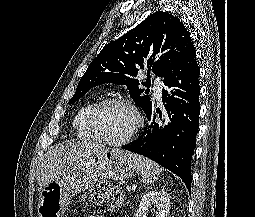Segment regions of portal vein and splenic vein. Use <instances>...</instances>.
<instances>
[{
	"label": "portal vein and splenic vein",
	"mask_w": 255,
	"mask_h": 217,
	"mask_svg": "<svg viewBox=\"0 0 255 217\" xmlns=\"http://www.w3.org/2000/svg\"><path fill=\"white\" fill-rule=\"evenodd\" d=\"M131 189H132L131 186H127V187H126V190H127V191H131Z\"/></svg>",
	"instance_id": "18ae733b"
}]
</instances>
